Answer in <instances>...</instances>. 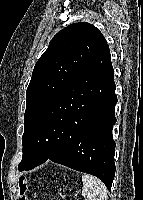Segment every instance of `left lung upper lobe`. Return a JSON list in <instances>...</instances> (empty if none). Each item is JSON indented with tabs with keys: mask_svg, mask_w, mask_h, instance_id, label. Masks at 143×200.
<instances>
[{
	"mask_svg": "<svg viewBox=\"0 0 143 200\" xmlns=\"http://www.w3.org/2000/svg\"><path fill=\"white\" fill-rule=\"evenodd\" d=\"M106 45L102 33L83 22L67 26L52 38L35 64L26 91L23 157L19 171L27 167L32 157L35 128L43 112Z\"/></svg>",
	"mask_w": 143,
	"mask_h": 200,
	"instance_id": "5c2ea615",
	"label": "left lung upper lobe"
}]
</instances>
